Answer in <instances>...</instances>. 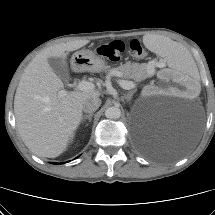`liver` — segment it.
I'll return each mask as SVG.
<instances>
[{"label": "liver", "instance_id": "liver-1", "mask_svg": "<svg viewBox=\"0 0 215 215\" xmlns=\"http://www.w3.org/2000/svg\"><path fill=\"white\" fill-rule=\"evenodd\" d=\"M88 39L47 47L28 64L14 97V113L19 135L37 156L55 158L62 154L82 119L83 103L100 92L71 91L60 97L63 82L52 70L48 58L66 59Z\"/></svg>", "mask_w": 215, "mask_h": 215}]
</instances>
